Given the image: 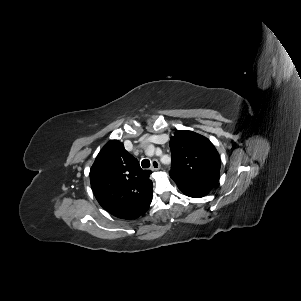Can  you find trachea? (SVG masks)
Instances as JSON below:
<instances>
[{
    "label": "trachea",
    "mask_w": 301,
    "mask_h": 301,
    "mask_svg": "<svg viewBox=\"0 0 301 301\" xmlns=\"http://www.w3.org/2000/svg\"><path fill=\"white\" fill-rule=\"evenodd\" d=\"M141 166H142L143 168H149V167H150V161H149L148 159L142 160Z\"/></svg>",
    "instance_id": "3493384b"
}]
</instances>
